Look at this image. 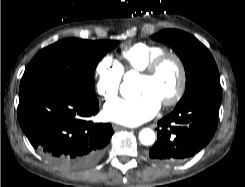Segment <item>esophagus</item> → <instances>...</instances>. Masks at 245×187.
Masks as SVG:
<instances>
[{
    "mask_svg": "<svg viewBox=\"0 0 245 187\" xmlns=\"http://www.w3.org/2000/svg\"><path fill=\"white\" fill-rule=\"evenodd\" d=\"M113 129H114V130L126 129V127H124V126H122V125H118V124H113Z\"/></svg>",
    "mask_w": 245,
    "mask_h": 187,
    "instance_id": "esophagus-1",
    "label": "esophagus"
}]
</instances>
